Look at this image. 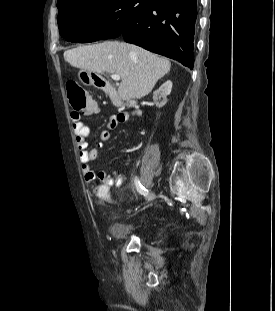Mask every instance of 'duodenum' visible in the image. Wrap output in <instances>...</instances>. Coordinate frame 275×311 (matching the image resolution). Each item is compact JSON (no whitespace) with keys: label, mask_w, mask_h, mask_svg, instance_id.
Here are the masks:
<instances>
[{"label":"duodenum","mask_w":275,"mask_h":311,"mask_svg":"<svg viewBox=\"0 0 275 311\" xmlns=\"http://www.w3.org/2000/svg\"><path fill=\"white\" fill-rule=\"evenodd\" d=\"M90 81L94 84L99 90L108 95L113 102L121 103L122 100L117 92V90L113 87V85L101 77V74H96L95 70H89Z\"/></svg>","instance_id":"duodenum-1"}]
</instances>
